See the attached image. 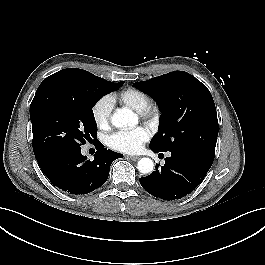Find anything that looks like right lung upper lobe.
Listing matches in <instances>:
<instances>
[{
    "mask_svg": "<svg viewBox=\"0 0 265 265\" xmlns=\"http://www.w3.org/2000/svg\"><path fill=\"white\" fill-rule=\"evenodd\" d=\"M79 70L80 69H77V68L64 69V70H61L59 72L52 74L51 76L47 77L45 80L55 79V80H64L67 82H72L71 77L74 74L78 73Z\"/></svg>",
    "mask_w": 265,
    "mask_h": 265,
    "instance_id": "1",
    "label": "right lung upper lobe"
}]
</instances>
